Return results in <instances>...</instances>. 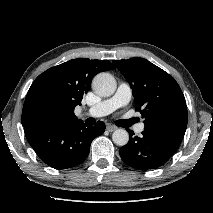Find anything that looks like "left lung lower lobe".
I'll return each mask as SVG.
<instances>
[{
	"instance_id": "0a47b994",
	"label": "left lung lower lobe",
	"mask_w": 213,
	"mask_h": 213,
	"mask_svg": "<svg viewBox=\"0 0 213 213\" xmlns=\"http://www.w3.org/2000/svg\"><path fill=\"white\" fill-rule=\"evenodd\" d=\"M129 132V142L121 147V159L138 170L156 169L166 163L176 152L179 144L168 138L142 132V136H134Z\"/></svg>"
}]
</instances>
